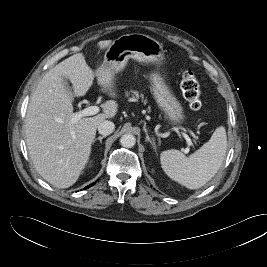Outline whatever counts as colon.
Wrapping results in <instances>:
<instances>
[{
  "label": "colon",
  "mask_w": 267,
  "mask_h": 267,
  "mask_svg": "<svg viewBox=\"0 0 267 267\" xmlns=\"http://www.w3.org/2000/svg\"><path fill=\"white\" fill-rule=\"evenodd\" d=\"M180 88L184 99L192 110H199L202 106L201 91L199 83L191 71H186L182 75Z\"/></svg>",
  "instance_id": "obj_1"
}]
</instances>
